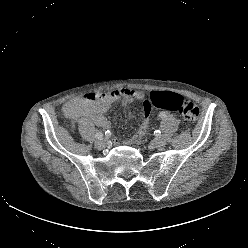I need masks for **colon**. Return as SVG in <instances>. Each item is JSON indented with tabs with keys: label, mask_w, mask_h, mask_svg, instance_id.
<instances>
[{
	"label": "colon",
	"mask_w": 248,
	"mask_h": 248,
	"mask_svg": "<svg viewBox=\"0 0 248 248\" xmlns=\"http://www.w3.org/2000/svg\"><path fill=\"white\" fill-rule=\"evenodd\" d=\"M154 109L167 111H178L182 114L184 121L194 123L199 119V108L181 95L173 92H152L146 96L143 103V119L139 128L137 141L145 139L150 125V116Z\"/></svg>",
	"instance_id": "colon-1"
}]
</instances>
